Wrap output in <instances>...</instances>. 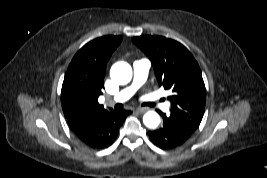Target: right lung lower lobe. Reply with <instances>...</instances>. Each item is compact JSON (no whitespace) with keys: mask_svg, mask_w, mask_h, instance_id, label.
I'll return each mask as SVG.
<instances>
[{"mask_svg":"<svg viewBox=\"0 0 267 178\" xmlns=\"http://www.w3.org/2000/svg\"><path fill=\"white\" fill-rule=\"evenodd\" d=\"M129 114L130 111L124 109H110L83 117L69 127L84 145L93 149H104L115 141L120 126Z\"/></svg>","mask_w":267,"mask_h":178,"instance_id":"1","label":"right lung lower lobe"}]
</instances>
